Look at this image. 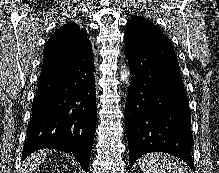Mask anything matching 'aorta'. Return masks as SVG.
<instances>
[{"label": "aorta", "mask_w": 219, "mask_h": 173, "mask_svg": "<svg viewBox=\"0 0 219 173\" xmlns=\"http://www.w3.org/2000/svg\"><path fill=\"white\" fill-rule=\"evenodd\" d=\"M129 76L130 72L129 70H127L126 65H122L120 71V81H122L123 83H128Z\"/></svg>", "instance_id": "obj_1"}]
</instances>
